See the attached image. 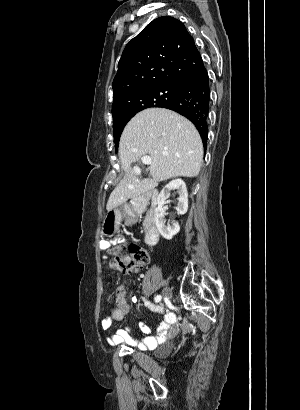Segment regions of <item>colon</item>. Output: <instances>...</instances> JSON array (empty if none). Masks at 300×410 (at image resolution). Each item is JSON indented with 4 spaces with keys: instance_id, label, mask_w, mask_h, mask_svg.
I'll list each match as a JSON object with an SVG mask.
<instances>
[{
    "instance_id": "5ec220e1",
    "label": "colon",
    "mask_w": 300,
    "mask_h": 410,
    "mask_svg": "<svg viewBox=\"0 0 300 410\" xmlns=\"http://www.w3.org/2000/svg\"><path fill=\"white\" fill-rule=\"evenodd\" d=\"M148 261L147 250L139 243H132L127 253L114 256L111 260V267L118 272L125 273L144 266Z\"/></svg>"
}]
</instances>
